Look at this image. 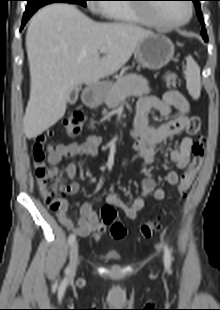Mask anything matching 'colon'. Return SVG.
<instances>
[{
    "instance_id": "1",
    "label": "colon",
    "mask_w": 220,
    "mask_h": 310,
    "mask_svg": "<svg viewBox=\"0 0 220 310\" xmlns=\"http://www.w3.org/2000/svg\"><path fill=\"white\" fill-rule=\"evenodd\" d=\"M164 81L169 87H178L181 84L180 78L173 70L164 73ZM84 124V115L74 111L67 115L62 121V128L69 136H76ZM49 133L39 134L35 137L32 153L34 160L35 176L37 187L42 194L44 203L53 211L62 207L64 196L67 193V186L62 179L60 169L46 163L44 145ZM205 152V137L198 134L197 139L191 147L192 158L180 177L177 185L179 196L184 195L193 184L195 177L202 167ZM101 220L104 225H111V236L114 239H123L126 236V229L117 221V212L111 205H104L100 211ZM159 220L145 222L139 227V234L142 238H151L160 228Z\"/></svg>"
}]
</instances>
